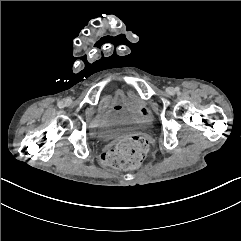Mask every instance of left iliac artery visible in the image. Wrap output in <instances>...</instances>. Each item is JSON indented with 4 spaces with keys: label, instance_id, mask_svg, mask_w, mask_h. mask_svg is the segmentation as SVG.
Returning a JSON list of instances; mask_svg holds the SVG:
<instances>
[{
    "label": "left iliac artery",
    "instance_id": "1",
    "mask_svg": "<svg viewBox=\"0 0 241 241\" xmlns=\"http://www.w3.org/2000/svg\"><path fill=\"white\" fill-rule=\"evenodd\" d=\"M179 90H180V88H179V87H176V88H175V91H177V92H178Z\"/></svg>",
    "mask_w": 241,
    "mask_h": 241
}]
</instances>
